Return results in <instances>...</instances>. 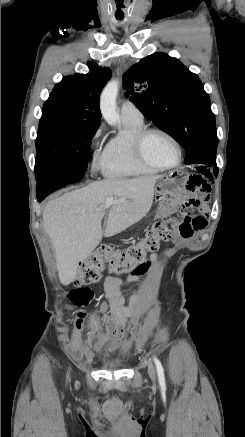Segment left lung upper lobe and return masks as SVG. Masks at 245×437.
<instances>
[{
  "label": "left lung upper lobe",
  "mask_w": 245,
  "mask_h": 437,
  "mask_svg": "<svg viewBox=\"0 0 245 437\" xmlns=\"http://www.w3.org/2000/svg\"><path fill=\"white\" fill-rule=\"evenodd\" d=\"M122 79L125 96L185 149L186 164L216 165L215 116L196 74L179 60L154 53L131 66Z\"/></svg>",
  "instance_id": "obj_1"
}]
</instances>
